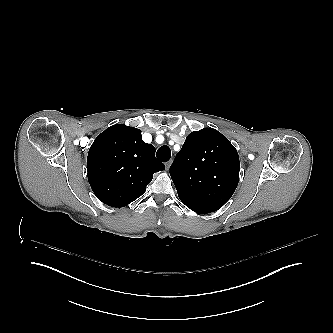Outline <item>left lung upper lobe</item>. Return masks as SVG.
Here are the masks:
<instances>
[{
  "mask_svg": "<svg viewBox=\"0 0 333 333\" xmlns=\"http://www.w3.org/2000/svg\"><path fill=\"white\" fill-rule=\"evenodd\" d=\"M239 171L237 150L212 128L190 133L170 167L180 200L201 214L220 209L231 198Z\"/></svg>",
  "mask_w": 333,
  "mask_h": 333,
  "instance_id": "1",
  "label": "left lung upper lobe"
}]
</instances>
